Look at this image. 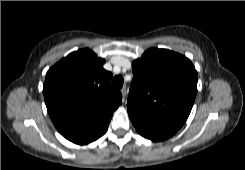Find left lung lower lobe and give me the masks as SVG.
Masks as SVG:
<instances>
[{"mask_svg":"<svg viewBox=\"0 0 245 170\" xmlns=\"http://www.w3.org/2000/svg\"><path fill=\"white\" fill-rule=\"evenodd\" d=\"M129 117L137 132L143 137L152 141H163L173 136L178 130L155 124L144 120L143 118L129 114Z\"/></svg>","mask_w":245,"mask_h":170,"instance_id":"1","label":"left lung lower lobe"}]
</instances>
